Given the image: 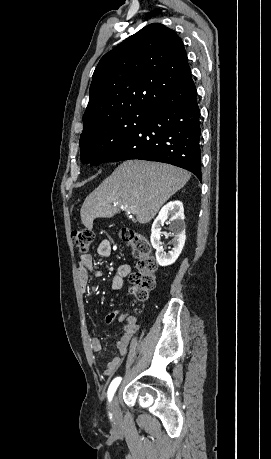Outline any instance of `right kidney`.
<instances>
[{"label":"right kidney","instance_id":"right-kidney-1","mask_svg":"<svg viewBox=\"0 0 271 459\" xmlns=\"http://www.w3.org/2000/svg\"><path fill=\"white\" fill-rule=\"evenodd\" d=\"M184 218L183 204L179 200H175V202H168L166 206H163L159 212V216L153 222L151 243L156 249V259L159 265H170L180 255L186 239ZM164 224H170L169 229L173 231L174 235L171 241L174 247L168 253L164 251L162 241H160V235L163 233L161 226H164Z\"/></svg>","mask_w":271,"mask_h":459}]
</instances>
